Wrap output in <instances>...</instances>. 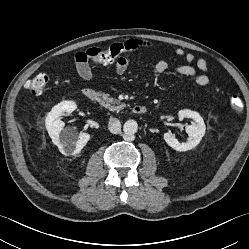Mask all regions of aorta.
I'll return each instance as SVG.
<instances>
[{
  "label": "aorta",
  "instance_id": "aorta-1",
  "mask_svg": "<svg viewBox=\"0 0 249 249\" xmlns=\"http://www.w3.org/2000/svg\"><path fill=\"white\" fill-rule=\"evenodd\" d=\"M138 130V124L135 120H127L123 125V131L126 135H134Z\"/></svg>",
  "mask_w": 249,
  "mask_h": 249
}]
</instances>
